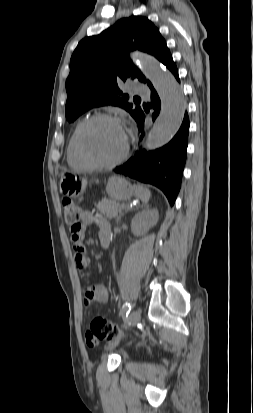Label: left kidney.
Instances as JSON below:
<instances>
[{
	"instance_id": "1",
	"label": "left kidney",
	"mask_w": 253,
	"mask_h": 413,
	"mask_svg": "<svg viewBox=\"0 0 253 413\" xmlns=\"http://www.w3.org/2000/svg\"><path fill=\"white\" fill-rule=\"evenodd\" d=\"M158 218V210H143L132 219L131 230L136 235H143L157 224Z\"/></svg>"
}]
</instances>
